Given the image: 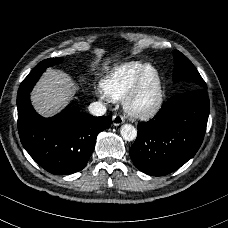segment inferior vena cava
<instances>
[{"mask_svg": "<svg viewBox=\"0 0 228 228\" xmlns=\"http://www.w3.org/2000/svg\"><path fill=\"white\" fill-rule=\"evenodd\" d=\"M89 112L95 116H102L106 113V107L100 102H93L88 107Z\"/></svg>", "mask_w": 228, "mask_h": 228, "instance_id": "inferior-vena-cava-1", "label": "inferior vena cava"}]
</instances>
